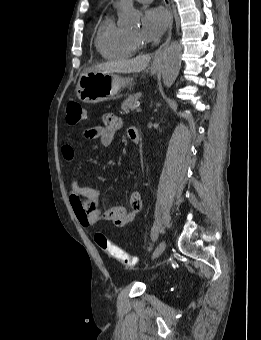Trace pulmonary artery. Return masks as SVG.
<instances>
[{
    "label": "pulmonary artery",
    "instance_id": "obj_1",
    "mask_svg": "<svg viewBox=\"0 0 261 340\" xmlns=\"http://www.w3.org/2000/svg\"><path fill=\"white\" fill-rule=\"evenodd\" d=\"M140 3H148V2H151L152 0H136ZM119 5V2H115V6H118Z\"/></svg>",
    "mask_w": 261,
    "mask_h": 340
}]
</instances>
